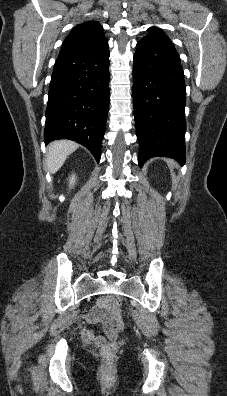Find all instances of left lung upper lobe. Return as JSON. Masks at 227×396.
<instances>
[{"label":"left lung upper lobe","mask_w":227,"mask_h":396,"mask_svg":"<svg viewBox=\"0 0 227 396\" xmlns=\"http://www.w3.org/2000/svg\"><path fill=\"white\" fill-rule=\"evenodd\" d=\"M149 34L146 35L144 38H148V37H156V38H162V39H168V36L165 35V33L159 29H157L156 27H151L148 29Z\"/></svg>","instance_id":"left-lung-upper-lobe-1"}]
</instances>
